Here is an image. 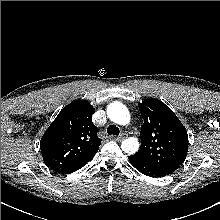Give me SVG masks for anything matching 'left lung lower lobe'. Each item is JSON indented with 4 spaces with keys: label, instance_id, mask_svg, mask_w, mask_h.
Returning a JSON list of instances; mask_svg holds the SVG:
<instances>
[{
    "label": "left lung lower lobe",
    "instance_id": "1",
    "mask_svg": "<svg viewBox=\"0 0 220 220\" xmlns=\"http://www.w3.org/2000/svg\"><path fill=\"white\" fill-rule=\"evenodd\" d=\"M130 163L141 173L152 176V177H163L168 174L164 173L163 171L157 169L156 167L150 165L149 163L145 162L144 160L137 158L136 156H128Z\"/></svg>",
    "mask_w": 220,
    "mask_h": 220
}]
</instances>
